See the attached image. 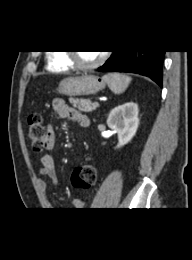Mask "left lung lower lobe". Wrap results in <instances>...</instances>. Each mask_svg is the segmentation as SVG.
<instances>
[{
    "label": "left lung lower lobe",
    "mask_w": 192,
    "mask_h": 260,
    "mask_svg": "<svg viewBox=\"0 0 192 260\" xmlns=\"http://www.w3.org/2000/svg\"><path fill=\"white\" fill-rule=\"evenodd\" d=\"M165 51H116L98 68L101 72H132L151 78L162 87V63Z\"/></svg>",
    "instance_id": "1"
}]
</instances>
